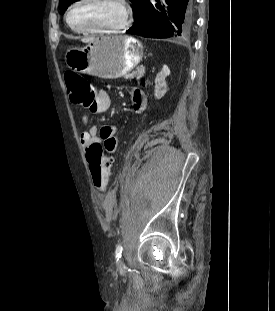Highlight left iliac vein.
I'll return each instance as SVG.
<instances>
[{"label": "left iliac vein", "mask_w": 275, "mask_h": 311, "mask_svg": "<svg viewBox=\"0 0 275 311\" xmlns=\"http://www.w3.org/2000/svg\"><path fill=\"white\" fill-rule=\"evenodd\" d=\"M120 267H122V263H120Z\"/></svg>", "instance_id": "obj_1"}]
</instances>
